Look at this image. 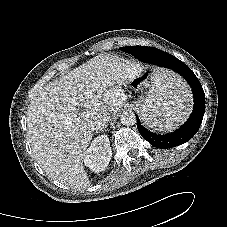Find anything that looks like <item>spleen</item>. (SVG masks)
Segmentation results:
<instances>
[{
  "label": "spleen",
  "mask_w": 227,
  "mask_h": 227,
  "mask_svg": "<svg viewBox=\"0 0 227 227\" xmlns=\"http://www.w3.org/2000/svg\"><path fill=\"white\" fill-rule=\"evenodd\" d=\"M152 89L139 106L142 120L149 127L172 130L189 114V90L173 73L157 69L151 78Z\"/></svg>",
  "instance_id": "3e777b00"
}]
</instances>
